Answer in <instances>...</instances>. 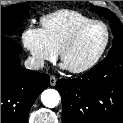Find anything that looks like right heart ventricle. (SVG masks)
<instances>
[{"mask_svg":"<svg viewBox=\"0 0 123 123\" xmlns=\"http://www.w3.org/2000/svg\"><path fill=\"white\" fill-rule=\"evenodd\" d=\"M92 18L72 10H58L41 18L42 31L53 50L60 52L70 36Z\"/></svg>","mask_w":123,"mask_h":123,"instance_id":"e07e8e85","label":"right heart ventricle"}]
</instances>
